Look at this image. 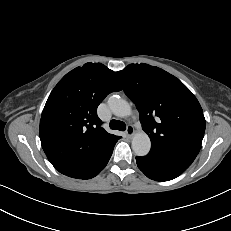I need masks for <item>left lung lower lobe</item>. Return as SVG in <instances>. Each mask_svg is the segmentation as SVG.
I'll use <instances>...</instances> for the list:
<instances>
[{
  "instance_id": "0a47b994",
  "label": "left lung lower lobe",
  "mask_w": 231,
  "mask_h": 231,
  "mask_svg": "<svg viewBox=\"0 0 231 231\" xmlns=\"http://www.w3.org/2000/svg\"><path fill=\"white\" fill-rule=\"evenodd\" d=\"M139 169L150 179L168 181L182 174L194 161L193 158L150 151L147 156L136 157Z\"/></svg>"
}]
</instances>
